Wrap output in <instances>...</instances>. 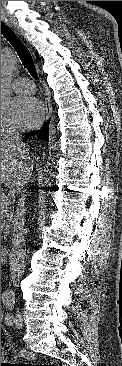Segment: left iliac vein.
Returning a JSON list of instances; mask_svg holds the SVG:
<instances>
[{
	"instance_id": "obj_1",
	"label": "left iliac vein",
	"mask_w": 122,
	"mask_h": 366,
	"mask_svg": "<svg viewBox=\"0 0 122 366\" xmlns=\"http://www.w3.org/2000/svg\"><path fill=\"white\" fill-rule=\"evenodd\" d=\"M14 324H15V326L17 328H21L22 327V316L19 313L16 314V318L14 320Z\"/></svg>"
}]
</instances>
